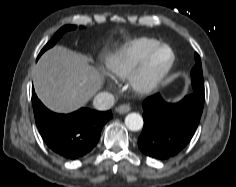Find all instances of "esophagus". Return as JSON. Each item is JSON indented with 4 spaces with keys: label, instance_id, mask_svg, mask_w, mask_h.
<instances>
[{
    "label": "esophagus",
    "instance_id": "esophagus-1",
    "mask_svg": "<svg viewBox=\"0 0 236 187\" xmlns=\"http://www.w3.org/2000/svg\"><path fill=\"white\" fill-rule=\"evenodd\" d=\"M131 110L130 106L129 105H120L116 108V111L120 114H125L127 112H129Z\"/></svg>",
    "mask_w": 236,
    "mask_h": 187
}]
</instances>
